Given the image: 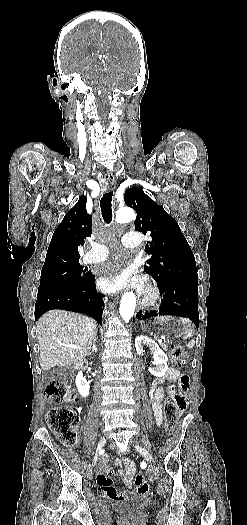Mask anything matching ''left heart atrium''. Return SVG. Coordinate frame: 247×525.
Segmentation results:
<instances>
[{
	"instance_id": "1",
	"label": "left heart atrium",
	"mask_w": 247,
	"mask_h": 525,
	"mask_svg": "<svg viewBox=\"0 0 247 525\" xmlns=\"http://www.w3.org/2000/svg\"><path fill=\"white\" fill-rule=\"evenodd\" d=\"M101 260V259H100ZM135 261L133 255L127 252H117L111 259L102 262V272H95L98 283L108 291H118L137 282L133 276L136 269L127 270L125 265Z\"/></svg>"
}]
</instances>
